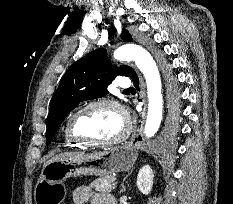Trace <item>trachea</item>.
I'll return each instance as SVG.
<instances>
[{"label": "trachea", "instance_id": "obj_1", "mask_svg": "<svg viewBox=\"0 0 233 204\" xmlns=\"http://www.w3.org/2000/svg\"><path fill=\"white\" fill-rule=\"evenodd\" d=\"M133 88H129V89H126V90H124V91H130V90H132Z\"/></svg>", "mask_w": 233, "mask_h": 204}]
</instances>
